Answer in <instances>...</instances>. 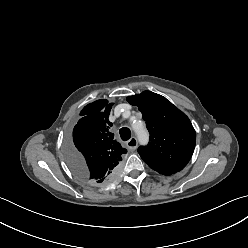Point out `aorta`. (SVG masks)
<instances>
[{
  "label": "aorta",
  "mask_w": 248,
  "mask_h": 248,
  "mask_svg": "<svg viewBox=\"0 0 248 248\" xmlns=\"http://www.w3.org/2000/svg\"><path fill=\"white\" fill-rule=\"evenodd\" d=\"M136 133L140 142L145 143L148 139V133L144 126H141L139 129H136Z\"/></svg>",
  "instance_id": "762f6f07"
}]
</instances>
